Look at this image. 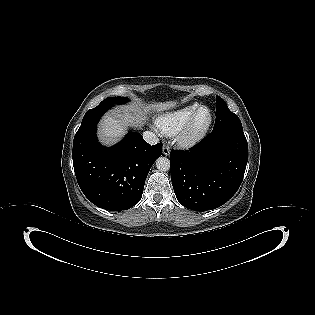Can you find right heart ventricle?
<instances>
[{
    "label": "right heart ventricle",
    "mask_w": 315,
    "mask_h": 315,
    "mask_svg": "<svg viewBox=\"0 0 315 315\" xmlns=\"http://www.w3.org/2000/svg\"><path fill=\"white\" fill-rule=\"evenodd\" d=\"M199 106L200 104L195 102L163 113L156 121L158 129L165 135H176Z\"/></svg>",
    "instance_id": "obj_1"
}]
</instances>
